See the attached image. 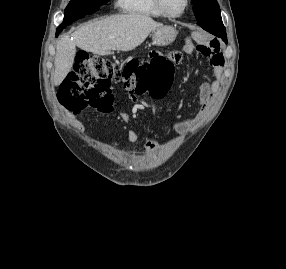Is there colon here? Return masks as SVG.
Returning <instances> with one entry per match:
<instances>
[{
  "mask_svg": "<svg viewBox=\"0 0 286 269\" xmlns=\"http://www.w3.org/2000/svg\"><path fill=\"white\" fill-rule=\"evenodd\" d=\"M208 48L200 43L197 50ZM149 61L140 63L129 59L120 64L109 58L93 56L79 51L75 69L71 72L59 94L60 104L70 112H78L86 105L98 107L104 112L111 110V82H122L130 93H147L150 97L163 95L173 82L175 52L162 53L152 49Z\"/></svg>",
  "mask_w": 286,
  "mask_h": 269,
  "instance_id": "5ec220e1",
  "label": "colon"
}]
</instances>
